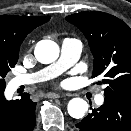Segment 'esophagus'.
Masks as SVG:
<instances>
[{
  "instance_id": "34e87169",
  "label": "esophagus",
  "mask_w": 131,
  "mask_h": 131,
  "mask_svg": "<svg viewBox=\"0 0 131 131\" xmlns=\"http://www.w3.org/2000/svg\"><path fill=\"white\" fill-rule=\"evenodd\" d=\"M46 96H47L48 98L55 99V98H60V97H62V96H64V95H60V94H57V93H48Z\"/></svg>"
}]
</instances>
